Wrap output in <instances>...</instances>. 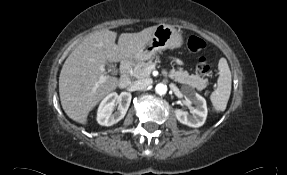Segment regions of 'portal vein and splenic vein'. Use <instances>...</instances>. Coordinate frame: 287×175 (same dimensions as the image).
<instances>
[{
	"instance_id": "1",
	"label": "portal vein and splenic vein",
	"mask_w": 287,
	"mask_h": 175,
	"mask_svg": "<svg viewBox=\"0 0 287 175\" xmlns=\"http://www.w3.org/2000/svg\"><path fill=\"white\" fill-rule=\"evenodd\" d=\"M154 68H155V65H151L144 70V73L150 74Z\"/></svg>"
}]
</instances>
